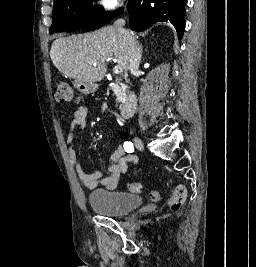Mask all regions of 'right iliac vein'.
Wrapping results in <instances>:
<instances>
[{
	"mask_svg": "<svg viewBox=\"0 0 256 267\" xmlns=\"http://www.w3.org/2000/svg\"><path fill=\"white\" fill-rule=\"evenodd\" d=\"M133 143H134V145H135L138 149H140V150L144 149V143H143V141L141 140V138H139V137L136 136V135H134Z\"/></svg>",
	"mask_w": 256,
	"mask_h": 267,
	"instance_id": "1",
	"label": "right iliac vein"
}]
</instances>
